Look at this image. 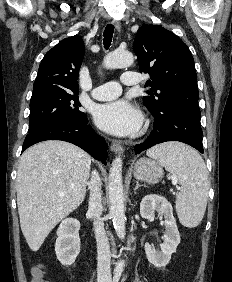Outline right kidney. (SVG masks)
Instances as JSON below:
<instances>
[{
    "label": "right kidney",
    "instance_id": "obj_1",
    "mask_svg": "<svg viewBox=\"0 0 232 282\" xmlns=\"http://www.w3.org/2000/svg\"><path fill=\"white\" fill-rule=\"evenodd\" d=\"M79 229L80 222L74 218H67L59 225L55 252L64 266L72 265L80 252Z\"/></svg>",
    "mask_w": 232,
    "mask_h": 282
}]
</instances>
